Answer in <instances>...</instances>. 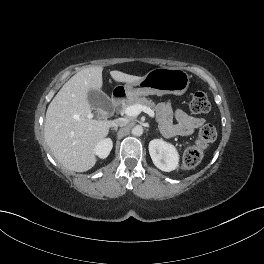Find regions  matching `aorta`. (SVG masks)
<instances>
[{"label":"aorta","mask_w":264,"mask_h":264,"mask_svg":"<svg viewBox=\"0 0 264 264\" xmlns=\"http://www.w3.org/2000/svg\"><path fill=\"white\" fill-rule=\"evenodd\" d=\"M132 134L134 136H141L143 134V127L140 125H136L135 127H133L132 129Z\"/></svg>","instance_id":"obj_1"}]
</instances>
